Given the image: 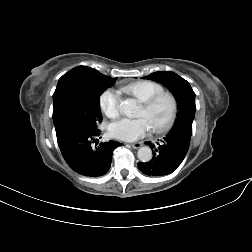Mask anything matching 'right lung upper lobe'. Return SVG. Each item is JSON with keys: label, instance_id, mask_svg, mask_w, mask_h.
<instances>
[{"label": "right lung upper lobe", "instance_id": "cb5924a9", "mask_svg": "<svg viewBox=\"0 0 252 252\" xmlns=\"http://www.w3.org/2000/svg\"><path fill=\"white\" fill-rule=\"evenodd\" d=\"M82 75H94V76H101L106 78L109 81L115 82V78H111L109 76H105L101 73H99L97 70L90 68V67H86V66H78L75 67L73 69H71L69 72L65 73L60 79L59 81H62L64 79L70 78V77H74V76H82Z\"/></svg>", "mask_w": 252, "mask_h": 252}]
</instances>
